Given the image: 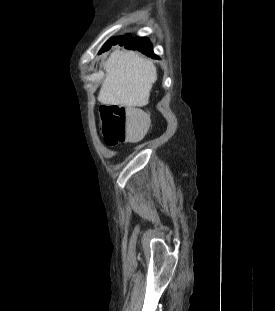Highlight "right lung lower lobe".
Masks as SVG:
<instances>
[{"label": "right lung lower lobe", "instance_id": "right-lung-lower-lobe-1", "mask_svg": "<svg viewBox=\"0 0 275 311\" xmlns=\"http://www.w3.org/2000/svg\"><path fill=\"white\" fill-rule=\"evenodd\" d=\"M119 45L124 46L128 49H137L143 54L150 56L155 59H159L157 55L153 53L152 44L147 38L138 37V38H128L125 41L119 43Z\"/></svg>", "mask_w": 275, "mask_h": 311}]
</instances>
